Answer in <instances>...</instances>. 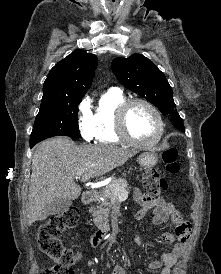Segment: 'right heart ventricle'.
<instances>
[{
    "mask_svg": "<svg viewBox=\"0 0 221 274\" xmlns=\"http://www.w3.org/2000/svg\"><path fill=\"white\" fill-rule=\"evenodd\" d=\"M127 97L117 88L105 91L98 102L94 113L95 139L104 144H120L124 141L116 130V113L118 107Z\"/></svg>",
    "mask_w": 221,
    "mask_h": 274,
    "instance_id": "obj_1",
    "label": "right heart ventricle"
}]
</instances>
